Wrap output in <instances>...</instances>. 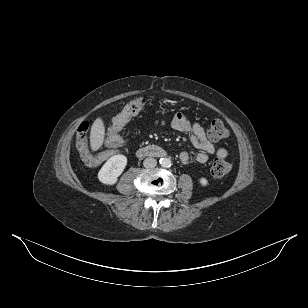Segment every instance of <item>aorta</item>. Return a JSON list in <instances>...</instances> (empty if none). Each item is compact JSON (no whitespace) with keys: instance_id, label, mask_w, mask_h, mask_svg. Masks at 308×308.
I'll return each mask as SVG.
<instances>
[{"instance_id":"762f6f07","label":"aorta","mask_w":308,"mask_h":308,"mask_svg":"<svg viewBox=\"0 0 308 308\" xmlns=\"http://www.w3.org/2000/svg\"><path fill=\"white\" fill-rule=\"evenodd\" d=\"M160 164L164 168H168L172 165V161L169 158H161Z\"/></svg>"}]
</instances>
